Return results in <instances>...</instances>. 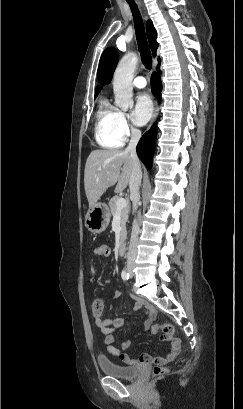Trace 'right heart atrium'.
Listing matches in <instances>:
<instances>
[{
	"label": "right heart atrium",
	"instance_id": "d8ad5b80",
	"mask_svg": "<svg viewBox=\"0 0 243 409\" xmlns=\"http://www.w3.org/2000/svg\"><path fill=\"white\" fill-rule=\"evenodd\" d=\"M115 130L122 140L127 139L136 132V129L130 124L128 116L122 111H118L116 115Z\"/></svg>",
	"mask_w": 243,
	"mask_h": 409
}]
</instances>
